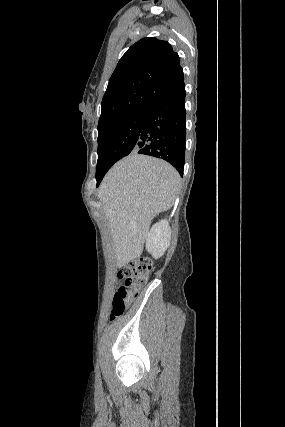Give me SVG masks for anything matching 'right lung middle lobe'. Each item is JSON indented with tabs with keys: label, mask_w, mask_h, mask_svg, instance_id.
<instances>
[{
	"label": "right lung middle lobe",
	"mask_w": 285,
	"mask_h": 427,
	"mask_svg": "<svg viewBox=\"0 0 285 427\" xmlns=\"http://www.w3.org/2000/svg\"><path fill=\"white\" fill-rule=\"evenodd\" d=\"M145 115L146 108L120 115L98 126L96 175L107 172L115 162L135 150Z\"/></svg>",
	"instance_id": "obj_1"
}]
</instances>
